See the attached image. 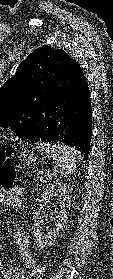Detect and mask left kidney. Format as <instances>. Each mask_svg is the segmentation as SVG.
<instances>
[{
  "label": "left kidney",
  "instance_id": "1",
  "mask_svg": "<svg viewBox=\"0 0 113 279\" xmlns=\"http://www.w3.org/2000/svg\"><path fill=\"white\" fill-rule=\"evenodd\" d=\"M71 192L72 189L69 185L67 186L60 183H55L54 185L49 186L45 193L42 194L40 202L44 204L52 201L53 196H57L60 201V209L54 211V220H56V222L53 228L45 234L41 232V212L38 211L33 213L32 228L35 237V243L39 248L45 249L55 242L59 232L65 226L71 206Z\"/></svg>",
  "mask_w": 113,
  "mask_h": 279
}]
</instances>
